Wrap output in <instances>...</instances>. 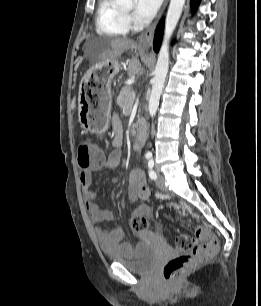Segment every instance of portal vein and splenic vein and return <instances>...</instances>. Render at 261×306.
<instances>
[{"label":"portal vein and splenic vein","instance_id":"obj_1","mask_svg":"<svg viewBox=\"0 0 261 306\" xmlns=\"http://www.w3.org/2000/svg\"><path fill=\"white\" fill-rule=\"evenodd\" d=\"M133 96L135 97V92L133 93Z\"/></svg>","mask_w":261,"mask_h":306}]
</instances>
